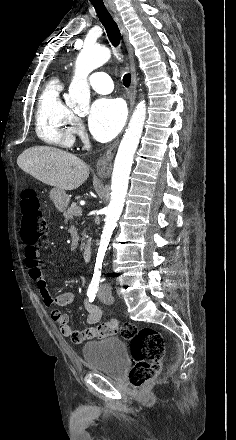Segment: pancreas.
<instances>
[{
  "instance_id": "obj_1",
  "label": "pancreas",
  "mask_w": 236,
  "mask_h": 440,
  "mask_svg": "<svg viewBox=\"0 0 236 440\" xmlns=\"http://www.w3.org/2000/svg\"><path fill=\"white\" fill-rule=\"evenodd\" d=\"M78 209H81V208L79 206H77L76 204H73L63 213L65 223H67L68 221H71L73 219V217L80 215L77 213ZM82 240H84V239H82ZM84 245H85V243L82 242L81 249L84 248Z\"/></svg>"
}]
</instances>
